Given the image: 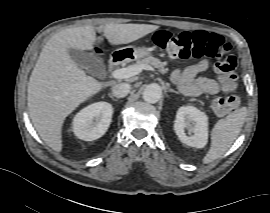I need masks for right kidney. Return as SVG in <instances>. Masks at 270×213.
Masks as SVG:
<instances>
[{
  "instance_id": "ca27d5eb",
  "label": "right kidney",
  "mask_w": 270,
  "mask_h": 213,
  "mask_svg": "<svg viewBox=\"0 0 270 213\" xmlns=\"http://www.w3.org/2000/svg\"><path fill=\"white\" fill-rule=\"evenodd\" d=\"M112 114L113 107L110 103H93L77 113L73 119L72 130L81 140H96L107 131Z\"/></svg>"
}]
</instances>
